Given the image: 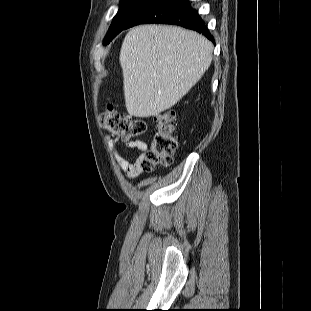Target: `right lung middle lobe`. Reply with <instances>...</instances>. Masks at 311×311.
I'll return each instance as SVG.
<instances>
[{
	"mask_svg": "<svg viewBox=\"0 0 311 311\" xmlns=\"http://www.w3.org/2000/svg\"><path fill=\"white\" fill-rule=\"evenodd\" d=\"M156 1L157 0H121L120 8L112 21L110 29L105 37L104 44H108L126 28L138 13Z\"/></svg>",
	"mask_w": 311,
	"mask_h": 311,
	"instance_id": "right-lung-middle-lobe-1",
	"label": "right lung middle lobe"
}]
</instances>
